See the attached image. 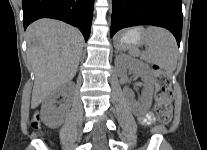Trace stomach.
I'll use <instances>...</instances> for the list:
<instances>
[{"mask_svg": "<svg viewBox=\"0 0 207 150\" xmlns=\"http://www.w3.org/2000/svg\"><path fill=\"white\" fill-rule=\"evenodd\" d=\"M143 39V32L140 28L128 29L117 35L115 47L118 50H127L132 46H137Z\"/></svg>", "mask_w": 207, "mask_h": 150, "instance_id": "stomach-1", "label": "stomach"}]
</instances>
